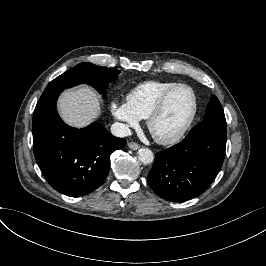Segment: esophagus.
<instances>
[{
    "instance_id": "1",
    "label": "esophagus",
    "mask_w": 266,
    "mask_h": 266,
    "mask_svg": "<svg viewBox=\"0 0 266 266\" xmlns=\"http://www.w3.org/2000/svg\"><path fill=\"white\" fill-rule=\"evenodd\" d=\"M128 146L132 150H137V149L140 148V145L139 144H136L135 142H129Z\"/></svg>"
}]
</instances>
